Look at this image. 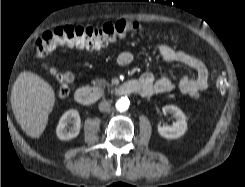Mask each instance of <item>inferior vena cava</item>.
Segmentation results:
<instances>
[{
  "label": "inferior vena cava",
  "instance_id": "1",
  "mask_svg": "<svg viewBox=\"0 0 245 187\" xmlns=\"http://www.w3.org/2000/svg\"><path fill=\"white\" fill-rule=\"evenodd\" d=\"M110 108H111V104L106 100H103L99 103V110L101 112H108Z\"/></svg>",
  "mask_w": 245,
  "mask_h": 187
}]
</instances>
